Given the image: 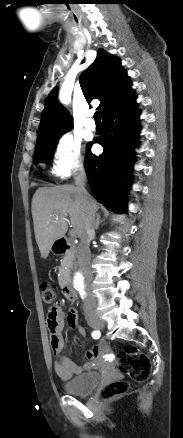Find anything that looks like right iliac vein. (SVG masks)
<instances>
[{
  "label": "right iliac vein",
  "mask_w": 183,
  "mask_h": 438,
  "mask_svg": "<svg viewBox=\"0 0 183 438\" xmlns=\"http://www.w3.org/2000/svg\"><path fill=\"white\" fill-rule=\"evenodd\" d=\"M88 322H89V325H90L91 327L96 328V329H101V328L104 327V322H103V320H102L98 315H96V314H95V315H92V316L89 318Z\"/></svg>",
  "instance_id": "obj_1"
}]
</instances>
